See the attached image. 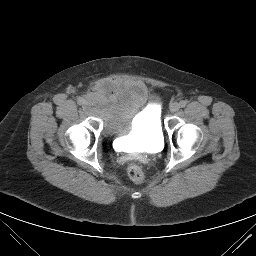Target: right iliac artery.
I'll return each mask as SVG.
<instances>
[{
	"mask_svg": "<svg viewBox=\"0 0 256 256\" xmlns=\"http://www.w3.org/2000/svg\"><path fill=\"white\" fill-rule=\"evenodd\" d=\"M77 102L79 105H82L84 104L85 100L82 97H79Z\"/></svg>",
	"mask_w": 256,
	"mask_h": 256,
	"instance_id": "82829eb1",
	"label": "right iliac artery"
}]
</instances>
